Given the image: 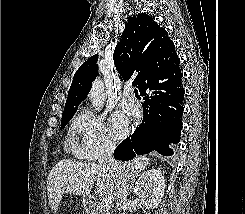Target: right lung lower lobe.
Here are the masks:
<instances>
[{
	"label": "right lung lower lobe",
	"instance_id": "obj_1",
	"mask_svg": "<svg viewBox=\"0 0 245 214\" xmlns=\"http://www.w3.org/2000/svg\"><path fill=\"white\" fill-rule=\"evenodd\" d=\"M182 76L179 65L150 71L140 92L145 99L142 124L115 149V159L126 161L154 150L165 156L173 154L170 145L180 141L182 129Z\"/></svg>",
	"mask_w": 245,
	"mask_h": 214
}]
</instances>
